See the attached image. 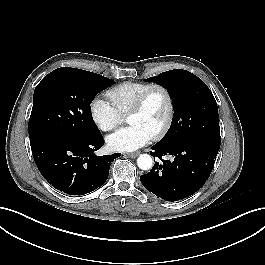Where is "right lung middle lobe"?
Returning a JSON list of instances; mask_svg holds the SVG:
<instances>
[{
	"instance_id": "dd1d6c3e",
	"label": "right lung middle lobe",
	"mask_w": 265,
	"mask_h": 265,
	"mask_svg": "<svg viewBox=\"0 0 265 265\" xmlns=\"http://www.w3.org/2000/svg\"><path fill=\"white\" fill-rule=\"evenodd\" d=\"M115 81L76 68H58L37 85L28 124L30 144L100 134L93 122L94 97Z\"/></svg>"
}]
</instances>
